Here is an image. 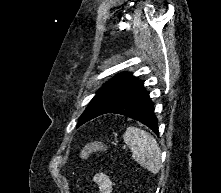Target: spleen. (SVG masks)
<instances>
[{"instance_id": "spleen-1", "label": "spleen", "mask_w": 221, "mask_h": 193, "mask_svg": "<svg viewBox=\"0 0 221 193\" xmlns=\"http://www.w3.org/2000/svg\"><path fill=\"white\" fill-rule=\"evenodd\" d=\"M124 142L132 151V157L152 173L161 168V150L155 138L137 127H129L123 136Z\"/></svg>"}]
</instances>
